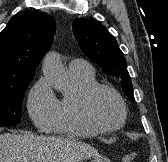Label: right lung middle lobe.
Instances as JSON below:
<instances>
[{"label": "right lung middle lobe", "instance_id": "obj_1", "mask_svg": "<svg viewBox=\"0 0 168 162\" xmlns=\"http://www.w3.org/2000/svg\"><path fill=\"white\" fill-rule=\"evenodd\" d=\"M32 79L33 77L17 79L0 84V127L20 122L22 101Z\"/></svg>", "mask_w": 168, "mask_h": 162}]
</instances>
